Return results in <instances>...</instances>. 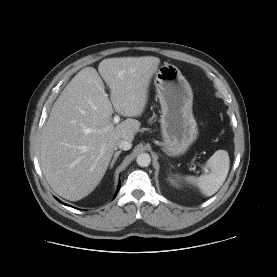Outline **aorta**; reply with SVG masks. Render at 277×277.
Segmentation results:
<instances>
[{
  "label": "aorta",
  "mask_w": 277,
  "mask_h": 277,
  "mask_svg": "<svg viewBox=\"0 0 277 277\" xmlns=\"http://www.w3.org/2000/svg\"><path fill=\"white\" fill-rule=\"evenodd\" d=\"M136 162L140 167H147L150 165L151 157L148 153H141L137 156Z\"/></svg>",
  "instance_id": "762f6f07"
}]
</instances>
